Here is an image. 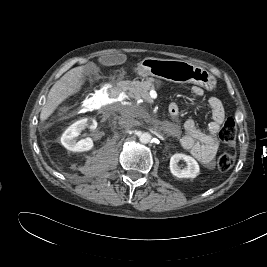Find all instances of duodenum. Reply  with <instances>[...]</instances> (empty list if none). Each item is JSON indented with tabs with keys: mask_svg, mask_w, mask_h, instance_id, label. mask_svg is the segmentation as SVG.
<instances>
[{
	"mask_svg": "<svg viewBox=\"0 0 267 267\" xmlns=\"http://www.w3.org/2000/svg\"><path fill=\"white\" fill-rule=\"evenodd\" d=\"M127 88H128V82L122 81L119 85H115L112 88V95L115 98H122L125 95ZM169 114L172 117H175L177 115V113L172 108H169Z\"/></svg>",
	"mask_w": 267,
	"mask_h": 267,
	"instance_id": "duodenum-1",
	"label": "duodenum"
}]
</instances>
